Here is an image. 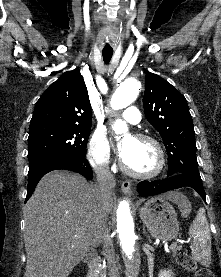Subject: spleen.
<instances>
[{
    "label": "spleen",
    "mask_w": 221,
    "mask_h": 277,
    "mask_svg": "<svg viewBox=\"0 0 221 277\" xmlns=\"http://www.w3.org/2000/svg\"><path fill=\"white\" fill-rule=\"evenodd\" d=\"M189 235L192 238V256L202 265L209 266L211 262V237L208 221L203 210H199L192 222Z\"/></svg>",
    "instance_id": "obj_1"
}]
</instances>
